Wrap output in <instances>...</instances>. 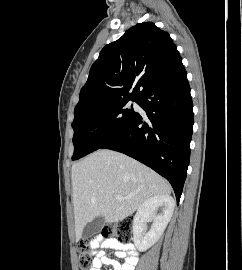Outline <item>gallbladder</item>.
<instances>
[{
  "label": "gallbladder",
  "mask_w": 242,
  "mask_h": 270,
  "mask_svg": "<svg viewBox=\"0 0 242 270\" xmlns=\"http://www.w3.org/2000/svg\"><path fill=\"white\" fill-rule=\"evenodd\" d=\"M105 225V219L103 216H98L91 222H88L83 229V237L89 238L95 233L99 232L101 228Z\"/></svg>",
  "instance_id": "obj_1"
}]
</instances>
